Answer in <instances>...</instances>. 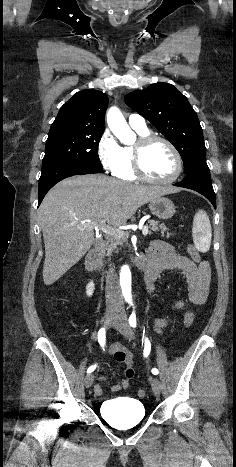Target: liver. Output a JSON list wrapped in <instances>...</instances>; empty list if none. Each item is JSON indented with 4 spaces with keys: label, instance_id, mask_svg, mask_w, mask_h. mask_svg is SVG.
I'll use <instances>...</instances> for the list:
<instances>
[{
    "label": "liver",
    "instance_id": "1",
    "mask_svg": "<svg viewBox=\"0 0 236 467\" xmlns=\"http://www.w3.org/2000/svg\"><path fill=\"white\" fill-rule=\"evenodd\" d=\"M178 191L98 174L73 176L56 184L38 212L45 244L44 284H53L86 254L94 242L96 224L125 225L140 206Z\"/></svg>",
    "mask_w": 236,
    "mask_h": 467
}]
</instances>
